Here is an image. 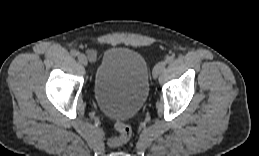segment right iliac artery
<instances>
[{"label":"right iliac artery","instance_id":"obj_1","mask_svg":"<svg viewBox=\"0 0 259 156\" xmlns=\"http://www.w3.org/2000/svg\"><path fill=\"white\" fill-rule=\"evenodd\" d=\"M70 53H71L72 56H77V55L79 54V52L76 51V50H74V49H72V50L70 51Z\"/></svg>","mask_w":259,"mask_h":156}]
</instances>
